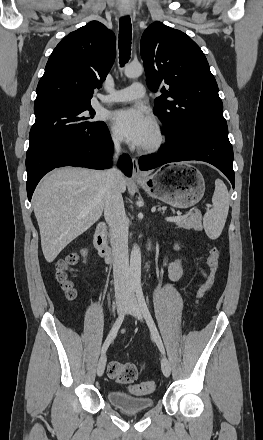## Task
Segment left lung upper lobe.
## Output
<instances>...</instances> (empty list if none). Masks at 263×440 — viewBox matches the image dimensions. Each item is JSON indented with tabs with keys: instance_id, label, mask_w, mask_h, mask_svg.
Masks as SVG:
<instances>
[{
	"instance_id": "obj_1",
	"label": "left lung upper lobe",
	"mask_w": 263,
	"mask_h": 440,
	"mask_svg": "<svg viewBox=\"0 0 263 440\" xmlns=\"http://www.w3.org/2000/svg\"><path fill=\"white\" fill-rule=\"evenodd\" d=\"M140 51L149 88L168 85L155 99L154 113L181 148L194 144L202 131L227 125L207 59L188 35L155 22L144 31Z\"/></svg>"
}]
</instances>
